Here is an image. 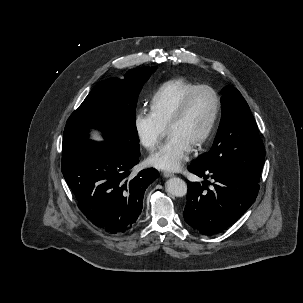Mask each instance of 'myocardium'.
Masks as SVG:
<instances>
[{"label":"myocardium","instance_id":"1","mask_svg":"<svg viewBox=\"0 0 303 303\" xmlns=\"http://www.w3.org/2000/svg\"><path fill=\"white\" fill-rule=\"evenodd\" d=\"M201 90H208L210 91L214 98H215V109L212 115V118L209 122L208 127L206 128L205 132L203 133V135L197 140V142L193 145V147L195 149H200L204 146V144L208 141V139L210 138V136L212 135L220 113H221V107H222V102H221V97L219 95V93L216 91V89H214L212 86L210 85H206V84H202V85H197L196 87H194L193 89H191L181 100L180 104L178 105L177 109L175 110V112L172 114V116L170 117L168 123H167V129L175 124L176 122H178L180 119H182V117L186 114L189 105L191 103V100L193 99V97L195 96V94Z\"/></svg>","mask_w":303,"mask_h":303}]
</instances>
